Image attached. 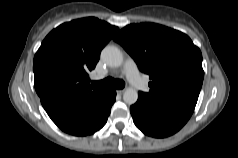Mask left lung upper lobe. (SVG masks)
Wrapping results in <instances>:
<instances>
[{
    "label": "left lung upper lobe",
    "instance_id": "obj_1",
    "mask_svg": "<svg viewBox=\"0 0 238 158\" xmlns=\"http://www.w3.org/2000/svg\"><path fill=\"white\" fill-rule=\"evenodd\" d=\"M114 40L149 75L150 90L144 93L147 96L161 99L200 93L202 54L186 34L159 24L141 23L124 27Z\"/></svg>",
    "mask_w": 238,
    "mask_h": 158
}]
</instances>
